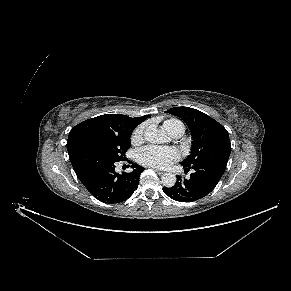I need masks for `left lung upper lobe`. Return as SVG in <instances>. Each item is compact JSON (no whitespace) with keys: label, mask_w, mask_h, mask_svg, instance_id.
Segmentation results:
<instances>
[{"label":"left lung upper lobe","mask_w":291,"mask_h":291,"mask_svg":"<svg viewBox=\"0 0 291 291\" xmlns=\"http://www.w3.org/2000/svg\"><path fill=\"white\" fill-rule=\"evenodd\" d=\"M166 112L183 119L192 133V148L190 155L181 162L183 166L206 161H228L231 152L229 134L216 120L189 107H175Z\"/></svg>","instance_id":"obj_1"}]
</instances>
